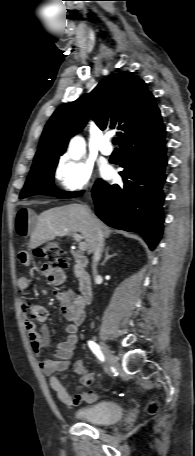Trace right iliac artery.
<instances>
[{
	"mask_svg": "<svg viewBox=\"0 0 195 456\" xmlns=\"http://www.w3.org/2000/svg\"><path fill=\"white\" fill-rule=\"evenodd\" d=\"M88 346L90 347V349L92 350V352L97 356V358L104 362V356L100 350V347L99 345H97L94 341H88Z\"/></svg>",
	"mask_w": 195,
	"mask_h": 456,
	"instance_id": "82829eb1",
	"label": "right iliac artery"
}]
</instances>
